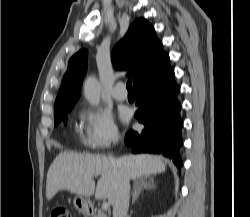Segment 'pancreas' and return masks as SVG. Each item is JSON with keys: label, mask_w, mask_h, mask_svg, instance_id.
Here are the masks:
<instances>
[{"label": "pancreas", "mask_w": 250, "mask_h": 217, "mask_svg": "<svg viewBox=\"0 0 250 217\" xmlns=\"http://www.w3.org/2000/svg\"><path fill=\"white\" fill-rule=\"evenodd\" d=\"M93 217H108L107 214H105L102 210H99L97 214H95Z\"/></svg>", "instance_id": "cf45deb5"}]
</instances>
